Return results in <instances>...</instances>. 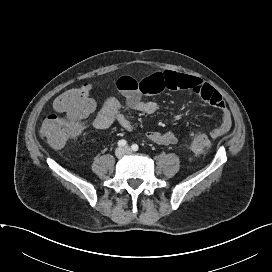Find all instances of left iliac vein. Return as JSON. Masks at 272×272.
I'll use <instances>...</instances> for the list:
<instances>
[{"label":"left iliac vein","mask_w":272,"mask_h":272,"mask_svg":"<svg viewBox=\"0 0 272 272\" xmlns=\"http://www.w3.org/2000/svg\"><path fill=\"white\" fill-rule=\"evenodd\" d=\"M124 149H125L126 153H131L132 152V150L129 147H125Z\"/></svg>","instance_id":"left-iliac-vein-1"}]
</instances>
